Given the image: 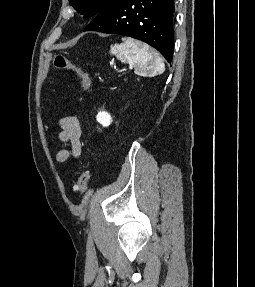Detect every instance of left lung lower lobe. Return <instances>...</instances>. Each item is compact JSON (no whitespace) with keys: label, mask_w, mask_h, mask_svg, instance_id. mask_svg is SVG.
<instances>
[{"label":"left lung lower lobe","mask_w":255,"mask_h":287,"mask_svg":"<svg viewBox=\"0 0 255 287\" xmlns=\"http://www.w3.org/2000/svg\"><path fill=\"white\" fill-rule=\"evenodd\" d=\"M174 0H112L84 29L130 36L148 43L172 61Z\"/></svg>","instance_id":"1"}]
</instances>
